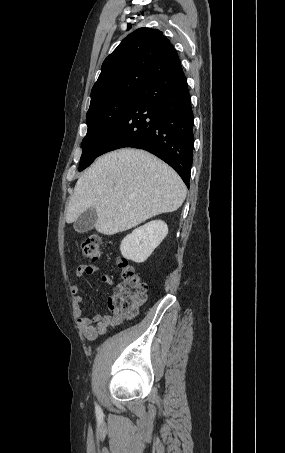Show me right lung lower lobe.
Listing matches in <instances>:
<instances>
[{
	"label": "right lung lower lobe",
	"instance_id": "1",
	"mask_svg": "<svg viewBox=\"0 0 285 453\" xmlns=\"http://www.w3.org/2000/svg\"><path fill=\"white\" fill-rule=\"evenodd\" d=\"M193 123L187 79L179 64L141 88L102 154L124 147L144 149L168 163L189 188Z\"/></svg>",
	"mask_w": 285,
	"mask_h": 453
}]
</instances>
